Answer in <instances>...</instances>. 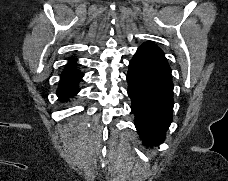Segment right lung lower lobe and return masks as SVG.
Segmentation results:
<instances>
[{
	"mask_svg": "<svg viewBox=\"0 0 228 181\" xmlns=\"http://www.w3.org/2000/svg\"><path fill=\"white\" fill-rule=\"evenodd\" d=\"M82 77L83 73L76 69L75 59L72 58L60 77L59 87L56 92L60 101H67L78 93V82Z\"/></svg>",
	"mask_w": 228,
	"mask_h": 181,
	"instance_id": "obj_1",
	"label": "right lung lower lobe"
}]
</instances>
